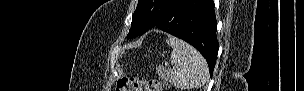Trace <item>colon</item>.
I'll use <instances>...</instances> for the list:
<instances>
[{
    "label": "colon",
    "instance_id": "colon-1",
    "mask_svg": "<svg viewBox=\"0 0 304 91\" xmlns=\"http://www.w3.org/2000/svg\"><path fill=\"white\" fill-rule=\"evenodd\" d=\"M116 91H162V85L156 79L131 76L120 79Z\"/></svg>",
    "mask_w": 304,
    "mask_h": 91
}]
</instances>
